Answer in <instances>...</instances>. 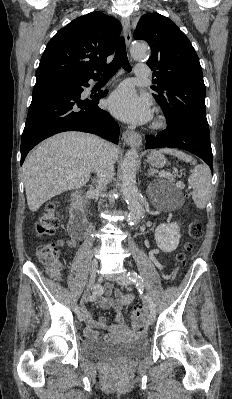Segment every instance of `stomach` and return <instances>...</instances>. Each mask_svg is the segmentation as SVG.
<instances>
[{"mask_svg": "<svg viewBox=\"0 0 232 399\" xmlns=\"http://www.w3.org/2000/svg\"><path fill=\"white\" fill-rule=\"evenodd\" d=\"M148 162L153 166V168H163L165 164H167V160L161 152H157V150H153V152H150L148 156Z\"/></svg>", "mask_w": 232, "mask_h": 399, "instance_id": "1", "label": "stomach"}]
</instances>
